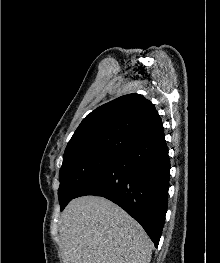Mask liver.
I'll use <instances>...</instances> for the list:
<instances>
[{"instance_id":"6515ba94","label":"liver","mask_w":220,"mask_h":263,"mask_svg":"<svg viewBox=\"0 0 220 263\" xmlns=\"http://www.w3.org/2000/svg\"><path fill=\"white\" fill-rule=\"evenodd\" d=\"M64 263H149L153 244L122 208L98 196L73 199L59 222Z\"/></svg>"}]
</instances>
